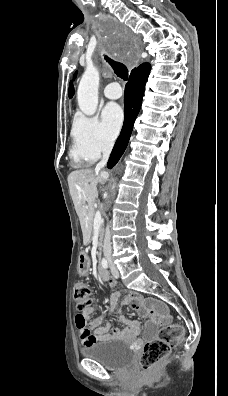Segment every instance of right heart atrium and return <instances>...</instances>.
<instances>
[{"label": "right heart atrium", "instance_id": "right-heart-atrium-1", "mask_svg": "<svg viewBox=\"0 0 228 396\" xmlns=\"http://www.w3.org/2000/svg\"><path fill=\"white\" fill-rule=\"evenodd\" d=\"M72 136L74 156L81 161H95L113 147V141L96 117L78 116L74 122Z\"/></svg>", "mask_w": 228, "mask_h": 396}]
</instances>
